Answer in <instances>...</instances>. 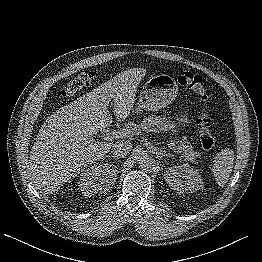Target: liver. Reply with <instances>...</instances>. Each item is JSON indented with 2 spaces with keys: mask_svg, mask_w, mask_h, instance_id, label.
Returning a JSON list of instances; mask_svg holds the SVG:
<instances>
[{
  "mask_svg": "<svg viewBox=\"0 0 262 262\" xmlns=\"http://www.w3.org/2000/svg\"><path fill=\"white\" fill-rule=\"evenodd\" d=\"M146 75L132 68L54 112L40 129L29 157L28 177L42 193L49 194L102 159L110 142L94 136L109 126L112 100L118 121H125L135 103L137 87Z\"/></svg>",
  "mask_w": 262,
  "mask_h": 262,
  "instance_id": "obj_1",
  "label": "liver"
}]
</instances>
